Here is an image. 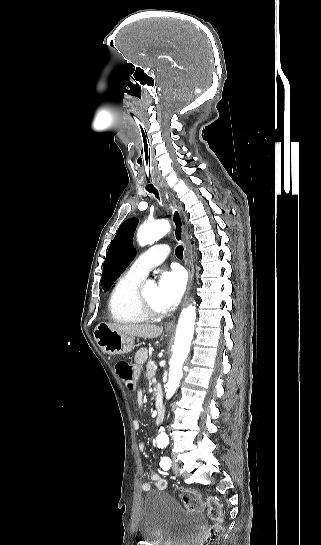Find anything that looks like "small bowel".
Instances as JSON below:
<instances>
[{"mask_svg": "<svg viewBox=\"0 0 321 545\" xmlns=\"http://www.w3.org/2000/svg\"><path fill=\"white\" fill-rule=\"evenodd\" d=\"M136 402L139 406H141L143 403H144V398H143V394L141 392H138L137 395H136ZM134 428L136 430H138L140 428V423L138 421H135L134 422ZM144 448H145V445L143 443H140L138 445V449L140 452H143L144 451ZM150 479L151 481L153 482L154 486L157 488V489H160V490H164L167 486V482L164 478H162L158 473L156 472H151L150 473ZM152 488V485L151 483L149 482H144L142 484V490L143 491H150Z\"/></svg>", "mask_w": 321, "mask_h": 545, "instance_id": "small-bowel-1", "label": "small bowel"}]
</instances>
